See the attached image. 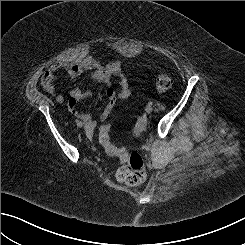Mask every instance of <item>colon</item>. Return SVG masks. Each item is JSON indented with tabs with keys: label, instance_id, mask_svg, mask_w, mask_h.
I'll use <instances>...</instances> for the list:
<instances>
[{
	"label": "colon",
	"instance_id": "1",
	"mask_svg": "<svg viewBox=\"0 0 245 245\" xmlns=\"http://www.w3.org/2000/svg\"><path fill=\"white\" fill-rule=\"evenodd\" d=\"M173 85V80L168 75H160L156 79V87L160 91L169 90ZM111 126L106 124L100 128L99 142L105 152L110 156L118 157L121 166L116 171V178L127 185L141 184L146 178L144 160L140 153L119 149L111 143Z\"/></svg>",
	"mask_w": 245,
	"mask_h": 245
}]
</instances>
